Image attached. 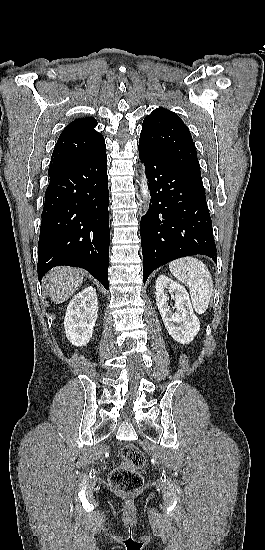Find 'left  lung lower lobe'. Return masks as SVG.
<instances>
[{
  "instance_id": "1",
  "label": "left lung lower lobe",
  "mask_w": 265,
  "mask_h": 550,
  "mask_svg": "<svg viewBox=\"0 0 265 550\" xmlns=\"http://www.w3.org/2000/svg\"><path fill=\"white\" fill-rule=\"evenodd\" d=\"M151 205L141 218L143 282L174 259L203 254L217 263L212 222L202 180L140 145Z\"/></svg>"
}]
</instances>
